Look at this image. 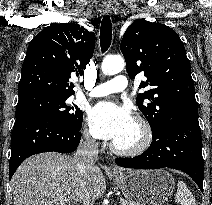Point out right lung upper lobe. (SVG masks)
<instances>
[{
    "label": "right lung upper lobe",
    "mask_w": 212,
    "mask_h": 205,
    "mask_svg": "<svg viewBox=\"0 0 212 205\" xmlns=\"http://www.w3.org/2000/svg\"><path fill=\"white\" fill-rule=\"evenodd\" d=\"M95 47V35L77 23L52 24L27 49L18 95H74L71 74L82 75Z\"/></svg>",
    "instance_id": "1"
}]
</instances>
